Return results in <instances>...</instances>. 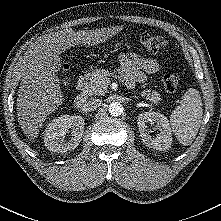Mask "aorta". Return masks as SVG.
Segmentation results:
<instances>
[{"label": "aorta", "instance_id": "762f6f07", "mask_svg": "<svg viewBox=\"0 0 221 221\" xmlns=\"http://www.w3.org/2000/svg\"><path fill=\"white\" fill-rule=\"evenodd\" d=\"M108 110L112 116H119L123 113V106L119 102H112L108 106Z\"/></svg>", "mask_w": 221, "mask_h": 221}]
</instances>
